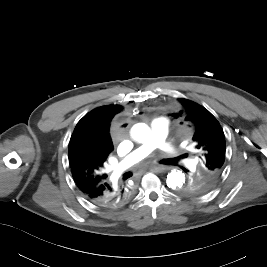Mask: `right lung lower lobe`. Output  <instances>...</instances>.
I'll return each instance as SVG.
<instances>
[{
    "instance_id": "right-lung-lower-lobe-1",
    "label": "right lung lower lobe",
    "mask_w": 267,
    "mask_h": 267,
    "mask_svg": "<svg viewBox=\"0 0 267 267\" xmlns=\"http://www.w3.org/2000/svg\"><path fill=\"white\" fill-rule=\"evenodd\" d=\"M81 191L92 203L104 208L120 207L131 197V192L127 187L112 186L107 181L96 187Z\"/></svg>"
}]
</instances>
